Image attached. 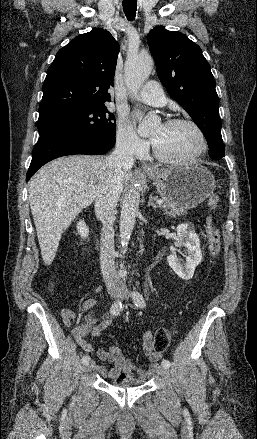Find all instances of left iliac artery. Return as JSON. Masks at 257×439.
<instances>
[{
	"label": "left iliac artery",
	"mask_w": 257,
	"mask_h": 439,
	"mask_svg": "<svg viewBox=\"0 0 257 439\" xmlns=\"http://www.w3.org/2000/svg\"><path fill=\"white\" fill-rule=\"evenodd\" d=\"M132 299L137 307H140V308L145 307V305H146L145 300H144L142 294H140L138 291L132 292ZM161 364H162V366L167 367V368H169L171 366L170 361L167 359H163Z\"/></svg>",
	"instance_id": "1"
}]
</instances>
